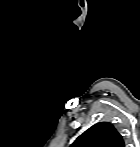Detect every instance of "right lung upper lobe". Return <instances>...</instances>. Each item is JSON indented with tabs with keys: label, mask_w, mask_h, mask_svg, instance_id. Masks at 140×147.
Instances as JSON below:
<instances>
[{
	"label": "right lung upper lobe",
	"mask_w": 140,
	"mask_h": 147,
	"mask_svg": "<svg viewBox=\"0 0 140 147\" xmlns=\"http://www.w3.org/2000/svg\"><path fill=\"white\" fill-rule=\"evenodd\" d=\"M72 147H124L122 136L108 122L93 125L80 135Z\"/></svg>",
	"instance_id": "right-lung-upper-lobe-1"
}]
</instances>
